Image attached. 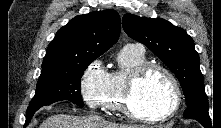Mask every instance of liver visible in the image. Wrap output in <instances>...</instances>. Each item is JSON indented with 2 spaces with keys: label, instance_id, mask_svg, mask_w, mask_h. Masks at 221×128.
<instances>
[{
  "label": "liver",
  "instance_id": "6515ba94",
  "mask_svg": "<svg viewBox=\"0 0 221 128\" xmlns=\"http://www.w3.org/2000/svg\"><path fill=\"white\" fill-rule=\"evenodd\" d=\"M40 128H155L145 125H123L106 121L104 118L91 114L87 116H73L56 114L48 117ZM157 128V127H156ZM158 128H162L158 126Z\"/></svg>",
  "mask_w": 221,
  "mask_h": 128
}]
</instances>
